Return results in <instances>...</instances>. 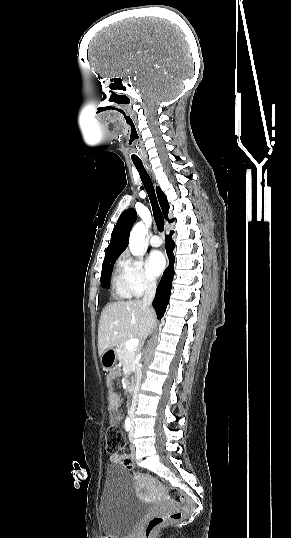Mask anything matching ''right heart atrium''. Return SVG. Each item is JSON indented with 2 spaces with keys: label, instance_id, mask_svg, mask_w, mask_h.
Masks as SVG:
<instances>
[{
  "label": "right heart atrium",
  "instance_id": "d8ad5b80",
  "mask_svg": "<svg viewBox=\"0 0 291 538\" xmlns=\"http://www.w3.org/2000/svg\"><path fill=\"white\" fill-rule=\"evenodd\" d=\"M121 264L133 295L141 296L155 288V280L147 274L141 259L125 255Z\"/></svg>",
  "mask_w": 291,
  "mask_h": 538
}]
</instances>
